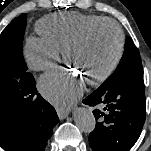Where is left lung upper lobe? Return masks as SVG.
I'll return each mask as SVG.
<instances>
[{
	"label": "left lung upper lobe",
	"instance_id": "obj_1",
	"mask_svg": "<svg viewBox=\"0 0 151 151\" xmlns=\"http://www.w3.org/2000/svg\"><path fill=\"white\" fill-rule=\"evenodd\" d=\"M143 74V67L139 50L131 37L126 38L124 54L116 70L95 90V92L107 91L116 84L133 74Z\"/></svg>",
	"mask_w": 151,
	"mask_h": 151
}]
</instances>
